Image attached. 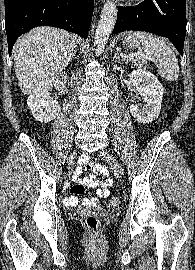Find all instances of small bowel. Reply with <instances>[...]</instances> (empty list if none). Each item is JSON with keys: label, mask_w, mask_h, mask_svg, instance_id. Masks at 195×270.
Listing matches in <instances>:
<instances>
[{"label": "small bowel", "mask_w": 195, "mask_h": 270, "mask_svg": "<svg viewBox=\"0 0 195 270\" xmlns=\"http://www.w3.org/2000/svg\"><path fill=\"white\" fill-rule=\"evenodd\" d=\"M81 166L92 173L77 179V183L70 188L71 195L65 199V204L71 207L78 205L97 207L99 205V198L109 196V187L112 185L113 181L105 166L95 162H89L86 156L81 158L80 167ZM85 187L96 189L97 197L80 199L79 196L84 192Z\"/></svg>", "instance_id": "obj_1"}]
</instances>
